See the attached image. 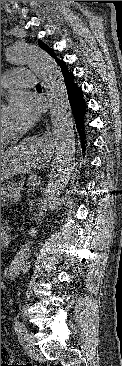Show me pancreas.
Here are the masks:
<instances>
[{
	"instance_id": "cf45deb5",
	"label": "pancreas",
	"mask_w": 122,
	"mask_h": 366,
	"mask_svg": "<svg viewBox=\"0 0 122 366\" xmlns=\"http://www.w3.org/2000/svg\"><path fill=\"white\" fill-rule=\"evenodd\" d=\"M15 186H16L15 184L1 186V200L7 199V197L13 194L15 191L22 189L18 187L16 188Z\"/></svg>"
}]
</instances>
